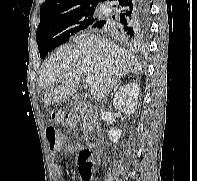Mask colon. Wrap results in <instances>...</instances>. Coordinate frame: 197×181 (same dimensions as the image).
I'll return each instance as SVG.
<instances>
[{"label":"colon","instance_id":"obj_1","mask_svg":"<svg viewBox=\"0 0 197 181\" xmlns=\"http://www.w3.org/2000/svg\"><path fill=\"white\" fill-rule=\"evenodd\" d=\"M52 119L63 123H74V117L60 112L54 113ZM46 139L49 143L50 149L58 151L63 143V138L58 134L54 126H48L45 131ZM79 172L84 181H91L93 176V154L88 149H82L78 154Z\"/></svg>","mask_w":197,"mask_h":181}]
</instances>
